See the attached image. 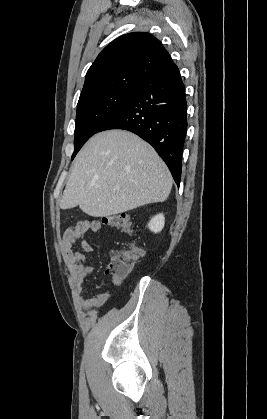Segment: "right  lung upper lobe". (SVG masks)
Wrapping results in <instances>:
<instances>
[{
  "instance_id": "1",
  "label": "right lung upper lobe",
  "mask_w": 267,
  "mask_h": 419,
  "mask_svg": "<svg viewBox=\"0 0 267 419\" xmlns=\"http://www.w3.org/2000/svg\"><path fill=\"white\" fill-rule=\"evenodd\" d=\"M172 63L162 43L151 34L122 35L100 52L87 71L79 100L106 90L141 86Z\"/></svg>"
}]
</instances>
